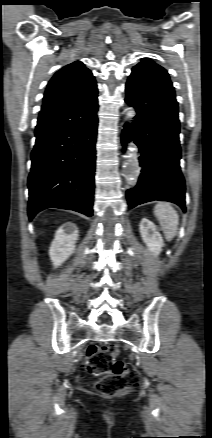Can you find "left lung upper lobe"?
Returning a JSON list of instances; mask_svg holds the SVG:
<instances>
[{
	"label": "left lung upper lobe",
	"mask_w": 212,
	"mask_h": 438,
	"mask_svg": "<svg viewBox=\"0 0 212 438\" xmlns=\"http://www.w3.org/2000/svg\"><path fill=\"white\" fill-rule=\"evenodd\" d=\"M128 81L138 82L150 88L175 96L167 71L150 59H143L133 67Z\"/></svg>",
	"instance_id": "obj_1"
}]
</instances>
